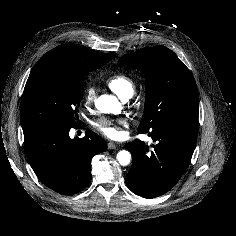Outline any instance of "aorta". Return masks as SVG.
Returning a JSON list of instances; mask_svg holds the SVG:
<instances>
[{
    "mask_svg": "<svg viewBox=\"0 0 236 236\" xmlns=\"http://www.w3.org/2000/svg\"><path fill=\"white\" fill-rule=\"evenodd\" d=\"M96 107L102 113H118L121 110V104L115 96L101 95L96 103ZM117 160L122 166L130 163L131 154L129 151L122 150L117 154Z\"/></svg>",
    "mask_w": 236,
    "mask_h": 236,
    "instance_id": "762f6f07",
    "label": "aorta"
}]
</instances>
